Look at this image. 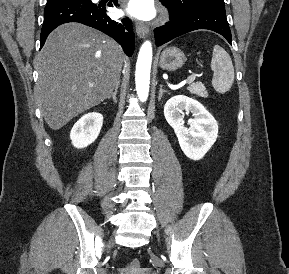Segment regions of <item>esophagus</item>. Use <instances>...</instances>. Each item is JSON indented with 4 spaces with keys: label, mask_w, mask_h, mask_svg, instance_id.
I'll return each instance as SVG.
<instances>
[{
    "label": "esophagus",
    "mask_w": 289,
    "mask_h": 274,
    "mask_svg": "<svg viewBox=\"0 0 289 274\" xmlns=\"http://www.w3.org/2000/svg\"><path fill=\"white\" fill-rule=\"evenodd\" d=\"M136 32L140 38H144L148 34L149 29L143 22L137 21Z\"/></svg>",
    "instance_id": "34e87169"
}]
</instances>
